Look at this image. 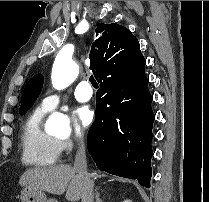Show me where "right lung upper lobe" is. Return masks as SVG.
<instances>
[{
	"instance_id": "right-lung-upper-lobe-1",
	"label": "right lung upper lobe",
	"mask_w": 209,
	"mask_h": 202,
	"mask_svg": "<svg viewBox=\"0 0 209 202\" xmlns=\"http://www.w3.org/2000/svg\"><path fill=\"white\" fill-rule=\"evenodd\" d=\"M145 59L137 38L129 29L112 23L99 24L90 52V69L100 87L115 90L144 74Z\"/></svg>"
}]
</instances>
